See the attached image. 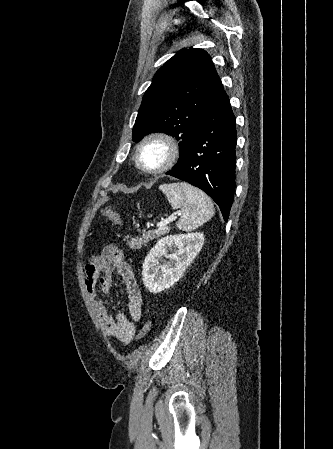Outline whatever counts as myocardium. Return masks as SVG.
<instances>
[{
	"instance_id": "myocardium-1",
	"label": "myocardium",
	"mask_w": 333,
	"mask_h": 449,
	"mask_svg": "<svg viewBox=\"0 0 333 449\" xmlns=\"http://www.w3.org/2000/svg\"><path fill=\"white\" fill-rule=\"evenodd\" d=\"M152 143L161 144L165 148V151H166L165 160L163 161V163L161 165H159L156 168H149L148 166L143 164V162L141 160L142 150L144 149L145 146L152 144ZM179 154H180V150H179L178 143L172 136H170L166 133H162V132H155V133L146 135L145 137H143L140 140V142L136 146L134 157H135L136 166L142 173L155 176V175L162 174V173L166 172L167 170H169L170 168H172L174 166V164L176 163V161L178 160Z\"/></svg>"
}]
</instances>
